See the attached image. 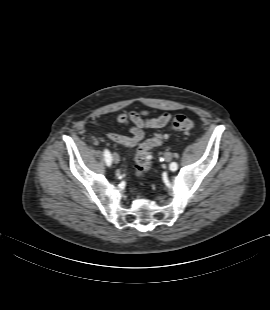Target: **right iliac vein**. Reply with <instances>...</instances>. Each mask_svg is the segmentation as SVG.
Instances as JSON below:
<instances>
[{"mask_svg":"<svg viewBox=\"0 0 270 310\" xmlns=\"http://www.w3.org/2000/svg\"><path fill=\"white\" fill-rule=\"evenodd\" d=\"M112 159H113V162L116 164L119 163V161H120V157L117 153L113 154Z\"/></svg>","mask_w":270,"mask_h":310,"instance_id":"63e3f726","label":"right iliac vein"}]
</instances>
